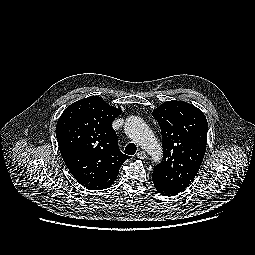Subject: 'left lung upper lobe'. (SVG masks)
Instances as JSON below:
<instances>
[{
    "label": "left lung upper lobe",
    "instance_id": "left-lung-upper-lobe-1",
    "mask_svg": "<svg viewBox=\"0 0 255 255\" xmlns=\"http://www.w3.org/2000/svg\"><path fill=\"white\" fill-rule=\"evenodd\" d=\"M153 117L162 134L163 160L153 176L181 191L195 178L206 151L208 123L203 112L183 101H167Z\"/></svg>",
    "mask_w": 255,
    "mask_h": 255
}]
</instances>
